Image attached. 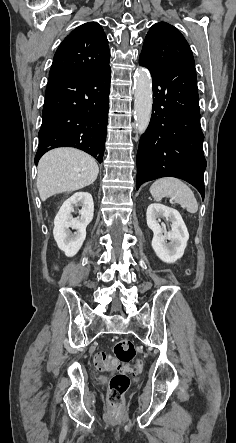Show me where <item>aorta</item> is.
Instances as JSON below:
<instances>
[{
    "mask_svg": "<svg viewBox=\"0 0 236 443\" xmlns=\"http://www.w3.org/2000/svg\"><path fill=\"white\" fill-rule=\"evenodd\" d=\"M152 80L149 72L140 67L135 77L134 111L137 130L145 133L152 111Z\"/></svg>",
    "mask_w": 236,
    "mask_h": 443,
    "instance_id": "obj_1",
    "label": "aorta"
}]
</instances>
